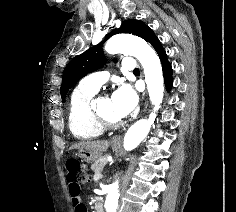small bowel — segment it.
<instances>
[{"instance_id": "1", "label": "small bowel", "mask_w": 236, "mask_h": 212, "mask_svg": "<svg viewBox=\"0 0 236 212\" xmlns=\"http://www.w3.org/2000/svg\"><path fill=\"white\" fill-rule=\"evenodd\" d=\"M64 179L68 183V198H72V212H88L87 205H83L82 194L85 190V185H80V179L76 175H65Z\"/></svg>"}]
</instances>
